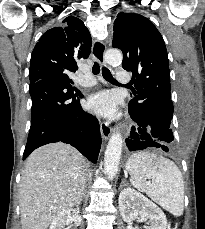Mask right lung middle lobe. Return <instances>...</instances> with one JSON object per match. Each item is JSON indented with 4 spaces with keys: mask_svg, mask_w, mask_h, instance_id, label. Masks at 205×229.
Returning a JSON list of instances; mask_svg holds the SVG:
<instances>
[{
    "mask_svg": "<svg viewBox=\"0 0 205 229\" xmlns=\"http://www.w3.org/2000/svg\"><path fill=\"white\" fill-rule=\"evenodd\" d=\"M53 78L64 83L66 86H70V83H72V80L69 79L67 75H57L54 76Z\"/></svg>",
    "mask_w": 205,
    "mask_h": 229,
    "instance_id": "right-lung-middle-lobe-1",
    "label": "right lung middle lobe"
}]
</instances>
